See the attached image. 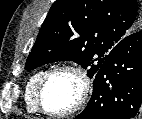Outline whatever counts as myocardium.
<instances>
[{
    "label": "myocardium",
    "mask_w": 142,
    "mask_h": 119,
    "mask_svg": "<svg viewBox=\"0 0 142 119\" xmlns=\"http://www.w3.org/2000/svg\"><path fill=\"white\" fill-rule=\"evenodd\" d=\"M61 72H70L77 77L80 83V92H79L76 103L71 108L65 111L55 112V111L48 110L45 107L44 101H43V94L50 79L54 75ZM91 90H92V81L89 74L84 68L76 64H61L47 71L42 81L40 82L38 90H37V94H36L37 107L42 113L49 116H53V117L72 116L78 111H80L87 104L91 94Z\"/></svg>",
    "instance_id": "f54148a6"
}]
</instances>
